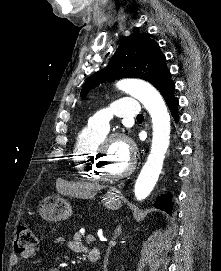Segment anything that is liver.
<instances>
[{"mask_svg":"<svg viewBox=\"0 0 221 271\" xmlns=\"http://www.w3.org/2000/svg\"><path fill=\"white\" fill-rule=\"evenodd\" d=\"M70 195H76V197H86L91 195L95 189H101V185H92V183H72L69 185Z\"/></svg>","mask_w":221,"mask_h":271,"instance_id":"liver-1","label":"liver"}]
</instances>
